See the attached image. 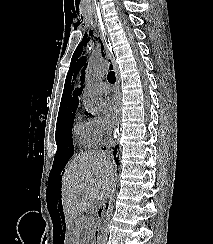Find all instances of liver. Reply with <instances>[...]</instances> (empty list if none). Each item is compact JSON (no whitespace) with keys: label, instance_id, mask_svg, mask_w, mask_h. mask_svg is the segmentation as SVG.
Listing matches in <instances>:
<instances>
[{"label":"liver","instance_id":"6515ba94","mask_svg":"<svg viewBox=\"0 0 213 244\" xmlns=\"http://www.w3.org/2000/svg\"><path fill=\"white\" fill-rule=\"evenodd\" d=\"M114 164L109 152L91 151L76 156L65 168L61 196L69 231L77 230L74 221L94 201H103L111 193ZM87 219H81L86 222Z\"/></svg>","mask_w":213,"mask_h":244}]
</instances>
